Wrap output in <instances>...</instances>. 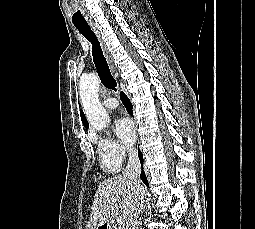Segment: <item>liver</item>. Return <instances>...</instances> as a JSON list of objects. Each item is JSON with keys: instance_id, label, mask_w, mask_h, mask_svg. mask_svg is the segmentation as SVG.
Returning <instances> with one entry per match:
<instances>
[{"instance_id": "6515ba94", "label": "liver", "mask_w": 255, "mask_h": 229, "mask_svg": "<svg viewBox=\"0 0 255 229\" xmlns=\"http://www.w3.org/2000/svg\"><path fill=\"white\" fill-rule=\"evenodd\" d=\"M133 195V184L122 175L103 180L94 196L87 229H94L109 222L119 210L126 221Z\"/></svg>"}]
</instances>
